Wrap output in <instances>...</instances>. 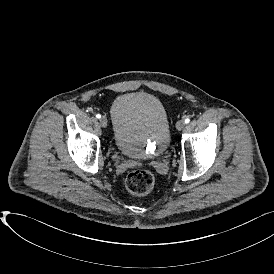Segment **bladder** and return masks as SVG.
Wrapping results in <instances>:
<instances>
[{"instance_id": "1", "label": "bladder", "mask_w": 274, "mask_h": 274, "mask_svg": "<svg viewBox=\"0 0 274 274\" xmlns=\"http://www.w3.org/2000/svg\"><path fill=\"white\" fill-rule=\"evenodd\" d=\"M113 141L117 150L132 159L154 158L170 143V126L162 102L145 92L118 96L111 108Z\"/></svg>"}]
</instances>
